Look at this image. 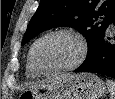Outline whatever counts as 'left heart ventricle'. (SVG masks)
<instances>
[{
    "label": "left heart ventricle",
    "mask_w": 115,
    "mask_h": 99,
    "mask_svg": "<svg viewBox=\"0 0 115 99\" xmlns=\"http://www.w3.org/2000/svg\"><path fill=\"white\" fill-rule=\"evenodd\" d=\"M77 40L69 35L51 36L40 42L35 51L37 64L51 71L71 64L79 55Z\"/></svg>",
    "instance_id": "1"
}]
</instances>
